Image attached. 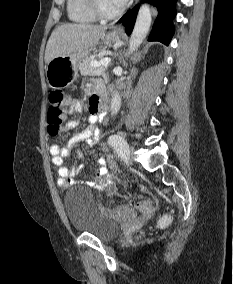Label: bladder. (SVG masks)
Listing matches in <instances>:
<instances>
[{"label":"bladder","mask_w":233,"mask_h":284,"mask_svg":"<svg viewBox=\"0 0 233 284\" xmlns=\"http://www.w3.org/2000/svg\"><path fill=\"white\" fill-rule=\"evenodd\" d=\"M64 206L71 228L78 233L109 241L120 232L119 224L97 204L93 192L86 187L70 189Z\"/></svg>","instance_id":"31cf9c89"}]
</instances>
